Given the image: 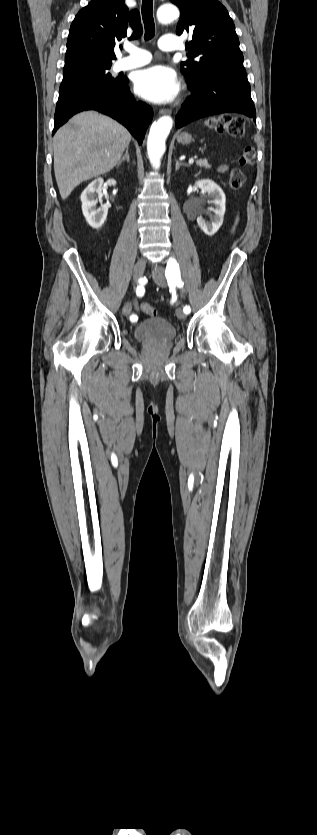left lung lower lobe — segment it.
Returning <instances> with one entry per match:
<instances>
[{
	"mask_svg": "<svg viewBox=\"0 0 317 835\" xmlns=\"http://www.w3.org/2000/svg\"><path fill=\"white\" fill-rule=\"evenodd\" d=\"M191 96L186 99L175 119L177 128L199 118L239 113L256 123L251 89L243 66L215 64L197 82H187Z\"/></svg>",
	"mask_w": 317,
	"mask_h": 835,
	"instance_id": "obj_1",
	"label": "left lung lower lobe"
}]
</instances>
